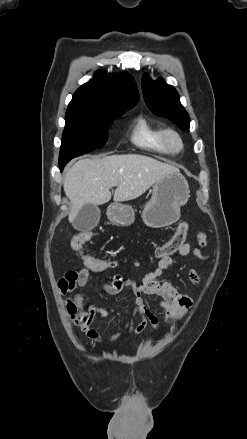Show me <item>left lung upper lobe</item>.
<instances>
[{
    "instance_id": "obj_1",
    "label": "left lung upper lobe",
    "mask_w": 247,
    "mask_h": 439,
    "mask_svg": "<svg viewBox=\"0 0 247 439\" xmlns=\"http://www.w3.org/2000/svg\"><path fill=\"white\" fill-rule=\"evenodd\" d=\"M142 91L148 108L157 115L174 122L182 130L189 131L188 113L180 104L177 91L163 80L153 81L147 74L142 78Z\"/></svg>"
}]
</instances>
